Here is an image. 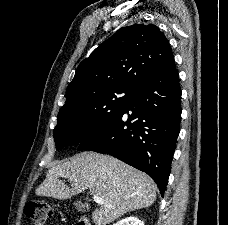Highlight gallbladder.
Instances as JSON below:
<instances>
[{"label":"gallbladder","instance_id":"gallbladder-1","mask_svg":"<svg viewBox=\"0 0 228 225\" xmlns=\"http://www.w3.org/2000/svg\"><path fill=\"white\" fill-rule=\"evenodd\" d=\"M75 209H77V211H85V205H83V203H81V201H75V203H73Z\"/></svg>","mask_w":228,"mask_h":225}]
</instances>
